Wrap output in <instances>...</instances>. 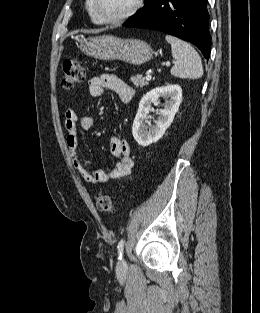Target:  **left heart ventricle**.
<instances>
[{
    "instance_id": "obj_1",
    "label": "left heart ventricle",
    "mask_w": 260,
    "mask_h": 313,
    "mask_svg": "<svg viewBox=\"0 0 260 313\" xmlns=\"http://www.w3.org/2000/svg\"><path fill=\"white\" fill-rule=\"evenodd\" d=\"M134 0H98V9L104 17H118L130 9Z\"/></svg>"
}]
</instances>
